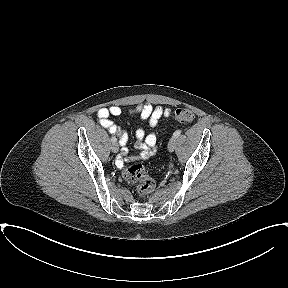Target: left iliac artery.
<instances>
[{"mask_svg":"<svg viewBox=\"0 0 288 288\" xmlns=\"http://www.w3.org/2000/svg\"><path fill=\"white\" fill-rule=\"evenodd\" d=\"M181 134V130H176L173 134V137H178Z\"/></svg>","mask_w":288,"mask_h":288,"instance_id":"1","label":"left iliac artery"}]
</instances>
